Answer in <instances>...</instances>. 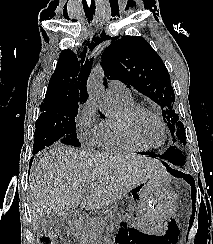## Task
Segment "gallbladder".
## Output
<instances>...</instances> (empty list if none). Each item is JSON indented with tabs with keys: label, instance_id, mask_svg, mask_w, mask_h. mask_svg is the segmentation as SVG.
<instances>
[{
	"label": "gallbladder",
	"instance_id": "obj_1",
	"mask_svg": "<svg viewBox=\"0 0 213 244\" xmlns=\"http://www.w3.org/2000/svg\"><path fill=\"white\" fill-rule=\"evenodd\" d=\"M65 218L53 212L45 213L40 218L38 226L39 234L58 235L64 227Z\"/></svg>",
	"mask_w": 213,
	"mask_h": 244
}]
</instances>
